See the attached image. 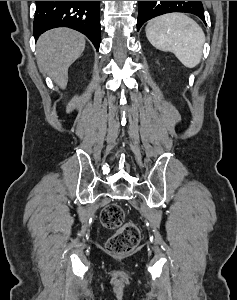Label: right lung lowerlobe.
<instances>
[{
	"label": "right lung lower lobe",
	"mask_w": 237,
	"mask_h": 300,
	"mask_svg": "<svg viewBox=\"0 0 237 300\" xmlns=\"http://www.w3.org/2000/svg\"><path fill=\"white\" fill-rule=\"evenodd\" d=\"M100 1H36L35 40L47 30L69 27L85 34L97 51L100 45Z\"/></svg>",
	"instance_id": "98d812e1"
}]
</instances>
